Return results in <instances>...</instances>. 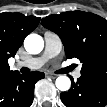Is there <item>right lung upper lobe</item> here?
<instances>
[{
  "instance_id": "cb5924a9",
  "label": "right lung upper lobe",
  "mask_w": 107,
  "mask_h": 107,
  "mask_svg": "<svg viewBox=\"0 0 107 107\" xmlns=\"http://www.w3.org/2000/svg\"><path fill=\"white\" fill-rule=\"evenodd\" d=\"M40 18L21 13L0 14V75L10 72L8 59L16 54L24 38L39 24Z\"/></svg>"
}]
</instances>
